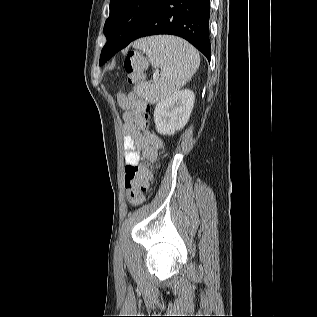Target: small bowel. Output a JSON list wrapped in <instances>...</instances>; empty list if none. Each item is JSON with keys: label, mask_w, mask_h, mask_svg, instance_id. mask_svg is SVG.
<instances>
[{"label": "small bowel", "mask_w": 317, "mask_h": 317, "mask_svg": "<svg viewBox=\"0 0 317 317\" xmlns=\"http://www.w3.org/2000/svg\"><path fill=\"white\" fill-rule=\"evenodd\" d=\"M119 106L123 109L124 132V161L125 165H138L139 161L146 159L155 161L162 148V140L159 136L141 129L138 125L141 112L146 104L136 99L131 94L120 91L117 94Z\"/></svg>", "instance_id": "obj_1"}]
</instances>
